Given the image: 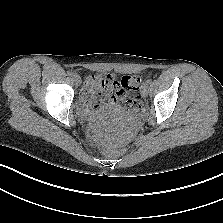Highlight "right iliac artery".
Wrapping results in <instances>:
<instances>
[{
	"instance_id": "1",
	"label": "right iliac artery",
	"mask_w": 223,
	"mask_h": 223,
	"mask_svg": "<svg viewBox=\"0 0 223 223\" xmlns=\"http://www.w3.org/2000/svg\"><path fill=\"white\" fill-rule=\"evenodd\" d=\"M68 75L69 76H73L74 75V72L73 71H68Z\"/></svg>"
}]
</instances>
